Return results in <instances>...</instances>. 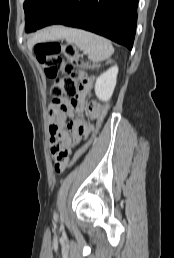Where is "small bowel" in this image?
Listing matches in <instances>:
<instances>
[{
	"label": "small bowel",
	"mask_w": 174,
	"mask_h": 258,
	"mask_svg": "<svg viewBox=\"0 0 174 258\" xmlns=\"http://www.w3.org/2000/svg\"><path fill=\"white\" fill-rule=\"evenodd\" d=\"M92 82L93 78L84 75L79 96L75 101L55 99L49 105L50 146L54 157L55 175L65 174L62 169L69 161L72 141L74 145L79 144L82 140L88 138L94 129L95 118H84L83 123L75 119L67 121L69 117L73 116L74 112L83 111L84 98ZM98 113H100V101L90 100L86 108V117H98ZM55 147H60V150ZM60 151L63 153H60Z\"/></svg>",
	"instance_id": "1"
}]
</instances>
